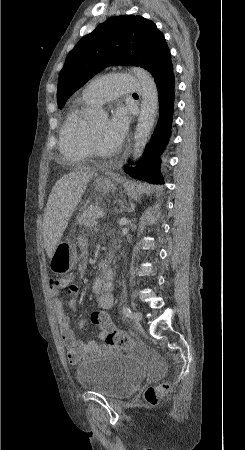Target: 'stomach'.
<instances>
[{
  "label": "stomach",
  "instance_id": "stomach-1",
  "mask_svg": "<svg viewBox=\"0 0 245 450\" xmlns=\"http://www.w3.org/2000/svg\"><path fill=\"white\" fill-rule=\"evenodd\" d=\"M95 186L104 192H114L115 183L108 178L96 179ZM78 261V254L75 247L70 242H59L50 259V269L56 274H65L71 271Z\"/></svg>",
  "mask_w": 245,
  "mask_h": 450
}]
</instances>
